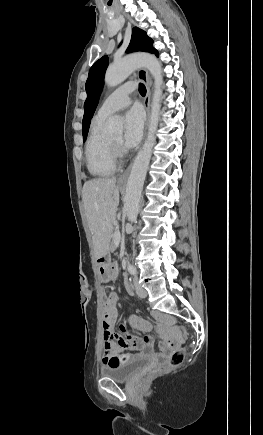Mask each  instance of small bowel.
<instances>
[{
	"mask_svg": "<svg viewBox=\"0 0 263 435\" xmlns=\"http://www.w3.org/2000/svg\"><path fill=\"white\" fill-rule=\"evenodd\" d=\"M108 270L113 274L115 279L119 271L118 266L113 264ZM102 317L103 328L115 329L118 320V310L117 296L114 292H111L104 302ZM154 317L161 324L175 325V320L169 315L156 312L154 313ZM127 323L141 330L149 329V324L145 320L137 316H129L127 321L120 325V329L123 333H115L112 350H103L102 361L105 365H117L132 358L141 357L150 353V348L152 345L151 337L149 335L138 337L129 334L126 331ZM159 339H164V334H159ZM169 339H174V334H169ZM173 348V341H164L163 347H159L157 349V354L159 356H166L168 354V350H173ZM125 350L134 351L136 354L124 353Z\"/></svg>",
	"mask_w": 263,
	"mask_h": 435,
	"instance_id": "1",
	"label": "small bowel"
}]
</instances>
